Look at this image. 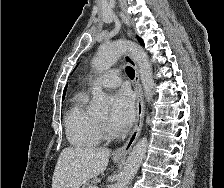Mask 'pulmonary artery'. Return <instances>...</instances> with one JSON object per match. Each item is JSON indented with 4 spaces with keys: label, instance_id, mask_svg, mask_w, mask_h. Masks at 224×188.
<instances>
[{
    "label": "pulmonary artery",
    "instance_id": "e3ab8cb5",
    "mask_svg": "<svg viewBox=\"0 0 224 188\" xmlns=\"http://www.w3.org/2000/svg\"><path fill=\"white\" fill-rule=\"evenodd\" d=\"M122 82L119 70H110L98 78V83L104 88L118 87Z\"/></svg>",
    "mask_w": 224,
    "mask_h": 188
}]
</instances>
